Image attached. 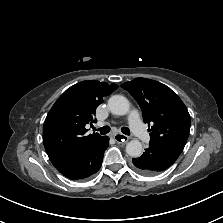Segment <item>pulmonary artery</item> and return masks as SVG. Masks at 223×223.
<instances>
[{
	"mask_svg": "<svg viewBox=\"0 0 223 223\" xmlns=\"http://www.w3.org/2000/svg\"><path fill=\"white\" fill-rule=\"evenodd\" d=\"M129 125L134 132V134L142 141L148 140L149 136L146 132L145 128L143 127L139 113L137 110H132L128 116Z\"/></svg>",
	"mask_w": 223,
	"mask_h": 223,
	"instance_id": "e3ab8cb5",
	"label": "pulmonary artery"
}]
</instances>
